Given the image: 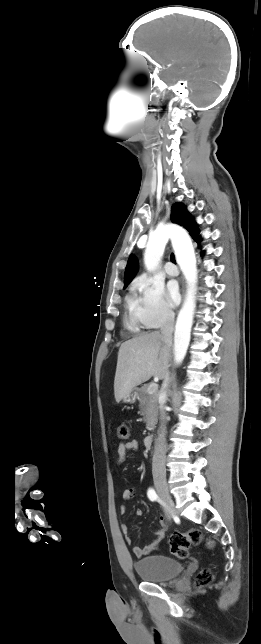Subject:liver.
<instances>
[{"mask_svg": "<svg viewBox=\"0 0 261 644\" xmlns=\"http://www.w3.org/2000/svg\"><path fill=\"white\" fill-rule=\"evenodd\" d=\"M170 347L158 331L143 333L120 346L114 379L116 402L152 376L166 377Z\"/></svg>", "mask_w": 261, "mask_h": 644, "instance_id": "liver-1", "label": "liver"}]
</instances>
